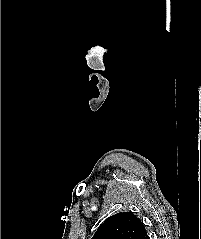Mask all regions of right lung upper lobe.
Masks as SVG:
<instances>
[{"label":"right lung upper lobe","instance_id":"obj_1","mask_svg":"<svg viewBox=\"0 0 201 239\" xmlns=\"http://www.w3.org/2000/svg\"><path fill=\"white\" fill-rule=\"evenodd\" d=\"M92 239H149L143 223L132 212L108 217Z\"/></svg>","mask_w":201,"mask_h":239}]
</instances>
